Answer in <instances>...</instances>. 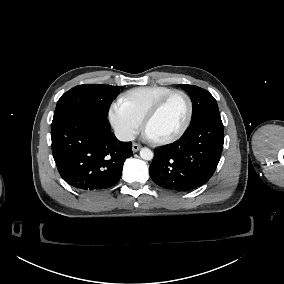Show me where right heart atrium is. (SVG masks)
<instances>
[{"label":"right heart atrium","mask_w":284,"mask_h":284,"mask_svg":"<svg viewBox=\"0 0 284 284\" xmlns=\"http://www.w3.org/2000/svg\"><path fill=\"white\" fill-rule=\"evenodd\" d=\"M109 123L115 135L122 141H131L140 130L139 121L124 111H121L114 104L108 112Z\"/></svg>","instance_id":"obj_1"}]
</instances>
